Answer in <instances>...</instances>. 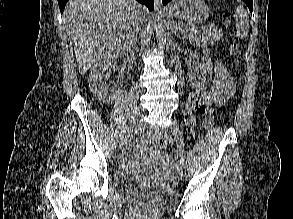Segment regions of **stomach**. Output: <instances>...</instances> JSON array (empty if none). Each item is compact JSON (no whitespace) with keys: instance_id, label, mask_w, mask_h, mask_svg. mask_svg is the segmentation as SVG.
Returning <instances> with one entry per match:
<instances>
[{"instance_id":"obj_1","label":"stomach","mask_w":293,"mask_h":219,"mask_svg":"<svg viewBox=\"0 0 293 219\" xmlns=\"http://www.w3.org/2000/svg\"><path fill=\"white\" fill-rule=\"evenodd\" d=\"M170 16L189 23H202L209 17L210 9L203 0H176L168 7Z\"/></svg>"}]
</instances>
